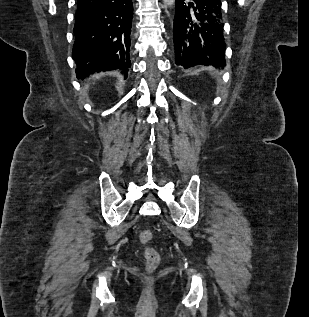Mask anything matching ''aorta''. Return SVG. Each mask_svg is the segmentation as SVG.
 I'll list each match as a JSON object with an SVG mask.
<instances>
[{"mask_svg": "<svg viewBox=\"0 0 309 317\" xmlns=\"http://www.w3.org/2000/svg\"><path fill=\"white\" fill-rule=\"evenodd\" d=\"M164 4L168 7H172L175 3V0H163Z\"/></svg>", "mask_w": 309, "mask_h": 317, "instance_id": "obj_1", "label": "aorta"}]
</instances>
